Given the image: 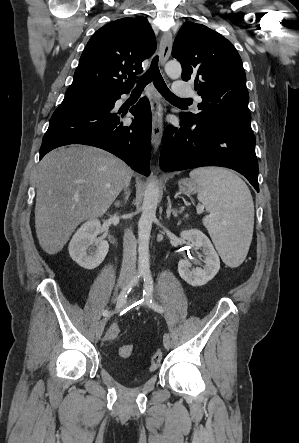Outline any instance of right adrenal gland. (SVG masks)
<instances>
[{
    "mask_svg": "<svg viewBox=\"0 0 299 443\" xmlns=\"http://www.w3.org/2000/svg\"><path fill=\"white\" fill-rule=\"evenodd\" d=\"M129 195H130V192L127 194L125 202L128 200ZM114 205L116 208H120L122 206L120 201L115 202Z\"/></svg>",
    "mask_w": 299,
    "mask_h": 443,
    "instance_id": "2a0ac1e0",
    "label": "right adrenal gland"
}]
</instances>
